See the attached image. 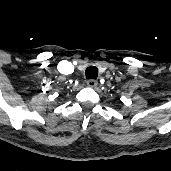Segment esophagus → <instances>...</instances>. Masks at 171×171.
I'll use <instances>...</instances> for the list:
<instances>
[{
  "mask_svg": "<svg viewBox=\"0 0 171 171\" xmlns=\"http://www.w3.org/2000/svg\"><path fill=\"white\" fill-rule=\"evenodd\" d=\"M97 84H98V82L95 79L87 80V86L88 87L94 88L97 86Z\"/></svg>",
  "mask_w": 171,
  "mask_h": 171,
  "instance_id": "esophagus-1",
  "label": "esophagus"
}]
</instances>
